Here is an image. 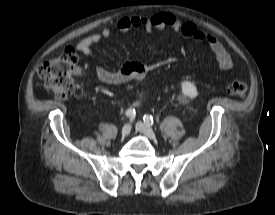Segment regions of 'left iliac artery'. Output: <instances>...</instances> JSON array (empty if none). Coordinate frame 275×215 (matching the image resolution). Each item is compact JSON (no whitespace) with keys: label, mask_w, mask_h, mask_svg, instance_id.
Returning <instances> with one entry per match:
<instances>
[{"label":"left iliac artery","mask_w":275,"mask_h":215,"mask_svg":"<svg viewBox=\"0 0 275 215\" xmlns=\"http://www.w3.org/2000/svg\"><path fill=\"white\" fill-rule=\"evenodd\" d=\"M143 120L148 126H152L154 123L153 117L151 115H144Z\"/></svg>","instance_id":"1"}]
</instances>
